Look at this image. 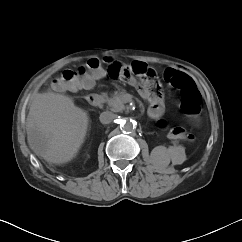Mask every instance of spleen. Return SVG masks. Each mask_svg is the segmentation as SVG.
<instances>
[{
    "label": "spleen",
    "mask_w": 242,
    "mask_h": 242,
    "mask_svg": "<svg viewBox=\"0 0 242 242\" xmlns=\"http://www.w3.org/2000/svg\"><path fill=\"white\" fill-rule=\"evenodd\" d=\"M179 149H180V147H177V148L172 147V148L169 149V151H168V155H169V157H170L173 161H174V159L176 158V151L179 150Z\"/></svg>",
    "instance_id": "1"
}]
</instances>
